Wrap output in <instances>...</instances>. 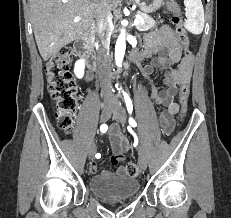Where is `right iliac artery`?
Instances as JSON below:
<instances>
[{
    "label": "right iliac artery",
    "instance_id": "82829eb1",
    "mask_svg": "<svg viewBox=\"0 0 231 218\" xmlns=\"http://www.w3.org/2000/svg\"><path fill=\"white\" fill-rule=\"evenodd\" d=\"M107 129H108V126H107L106 124H102V125L100 126V131H101L102 133H105V132L107 131ZM100 157H101V154H100V153H97V154H96V158L99 159Z\"/></svg>",
    "mask_w": 231,
    "mask_h": 218
}]
</instances>
